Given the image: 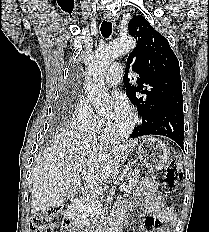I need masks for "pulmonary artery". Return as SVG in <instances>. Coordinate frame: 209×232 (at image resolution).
<instances>
[{"label":"pulmonary artery","instance_id":"e3ab8cb5","mask_svg":"<svg viewBox=\"0 0 209 232\" xmlns=\"http://www.w3.org/2000/svg\"><path fill=\"white\" fill-rule=\"evenodd\" d=\"M124 67L119 63H114L108 69L105 77V83L109 87H115L121 80L123 75Z\"/></svg>","mask_w":209,"mask_h":232}]
</instances>
